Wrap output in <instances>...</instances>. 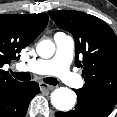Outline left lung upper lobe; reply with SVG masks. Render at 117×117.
I'll return each instance as SVG.
<instances>
[{"instance_id":"1","label":"left lung upper lobe","mask_w":117,"mask_h":117,"mask_svg":"<svg viewBox=\"0 0 117 117\" xmlns=\"http://www.w3.org/2000/svg\"><path fill=\"white\" fill-rule=\"evenodd\" d=\"M59 28L75 40V64L82 68L84 86L78 91L117 100V37L103 20L79 11L49 12Z\"/></svg>"}]
</instances>
